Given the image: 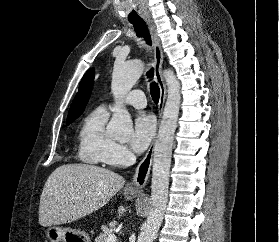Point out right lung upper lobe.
Masks as SVG:
<instances>
[{
  "mask_svg": "<svg viewBox=\"0 0 279 242\" xmlns=\"http://www.w3.org/2000/svg\"><path fill=\"white\" fill-rule=\"evenodd\" d=\"M93 79L94 71L90 69L85 73L80 82L79 91L70 107L67 122L74 121L83 112L92 90Z\"/></svg>",
  "mask_w": 279,
  "mask_h": 242,
  "instance_id": "obj_1",
  "label": "right lung upper lobe"
}]
</instances>
